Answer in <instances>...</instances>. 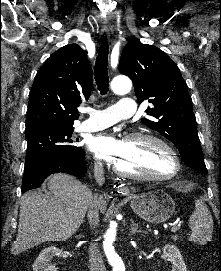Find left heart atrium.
Wrapping results in <instances>:
<instances>
[{
	"label": "left heart atrium",
	"mask_w": 221,
	"mask_h": 271,
	"mask_svg": "<svg viewBox=\"0 0 221 271\" xmlns=\"http://www.w3.org/2000/svg\"><path fill=\"white\" fill-rule=\"evenodd\" d=\"M115 140L113 134H99L91 139L88 147L90 151L100 153V157H137V152H131V148H121L123 142Z\"/></svg>",
	"instance_id": "1"
}]
</instances>
